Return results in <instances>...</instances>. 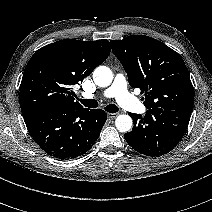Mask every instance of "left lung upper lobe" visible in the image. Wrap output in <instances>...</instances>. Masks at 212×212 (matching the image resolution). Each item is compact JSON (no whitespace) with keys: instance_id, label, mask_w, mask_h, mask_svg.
I'll use <instances>...</instances> for the list:
<instances>
[{"instance_id":"left-lung-upper-lobe-1","label":"left lung upper lobe","mask_w":212,"mask_h":212,"mask_svg":"<svg viewBox=\"0 0 212 212\" xmlns=\"http://www.w3.org/2000/svg\"><path fill=\"white\" fill-rule=\"evenodd\" d=\"M110 43L128 75L130 86L145 93L143 100L147 109L192 112L193 85L177 52L145 35L110 40Z\"/></svg>"}]
</instances>
